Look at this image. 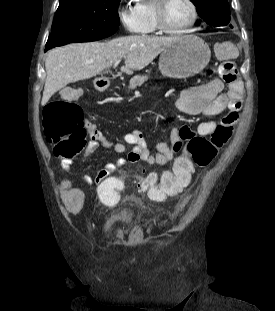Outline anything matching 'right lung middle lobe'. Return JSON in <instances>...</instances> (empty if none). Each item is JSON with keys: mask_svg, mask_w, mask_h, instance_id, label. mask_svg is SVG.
<instances>
[{"mask_svg": "<svg viewBox=\"0 0 275 311\" xmlns=\"http://www.w3.org/2000/svg\"><path fill=\"white\" fill-rule=\"evenodd\" d=\"M119 3L120 0H59L45 51L114 34L120 24Z\"/></svg>", "mask_w": 275, "mask_h": 311, "instance_id": "right-lung-middle-lobe-1", "label": "right lung middle lobe"}]
</instances>
